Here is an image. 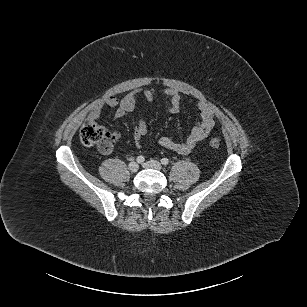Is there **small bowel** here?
<instances>
[{
	"label": "small bowel",
	"mask_w": 307,
	"mask_h": 307,
	"mask_svg": "<svg viewBox=\"0 0 307 307\" xmlns=\"http://www.w3.org/2000/svg\"><path fill=\"white\" fill-rule=\"evenodd\" d=\"M165 96L168 98V110L171 113H177L180 110L182 96L173 89H166ZM142 95L148 102L154 98L153 92L150 90L135 89L126 94L122 99L110 96L96 104L90 113V119H97L101 111L106 108H115V117L122 118L133 113L137 98ZM195 108L200 114V121L197 122L183 142H176L168 137H161L158 140L159 145L167 150L174 151L179 154H187L203 139H205L214 127V115L211 107L204 102L194 103ZM133 140L138 148L141 147L143 138L148 133V128L143 119L139 117L133 118Z\"/></svg>",
	"instance_id": "1"
}]
</instances>
